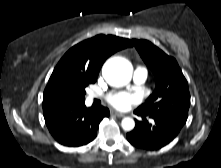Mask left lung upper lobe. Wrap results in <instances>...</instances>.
Masks as SVG:
<instances>
[{
  "label": "left lung upper lobe",
  "instance_id": "left-lung-upper-lobe-1",
  "mask_svg": "<svg viewBox=\"0 0 221 168\" xmlns=\"http://www.w3.org/2000/svg\"><path fill=\"white\" fill-rule=\"evenodd\" d=\"M156 79V88L136 110L147 116H168L186 122L190 106L188 83L178 63L147 40H132Z\"/></svg>",
  "mask_w": 221,
  "mask_h": 168
}]
</instances>
